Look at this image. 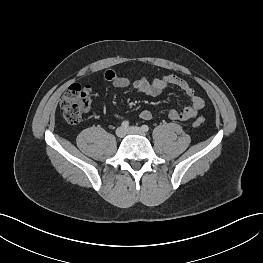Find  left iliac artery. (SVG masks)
Instances as JSON below:
<instances>
[{"label": "left iliac artery", "instance_id": "44dca946", "mask_svg": "<svg viewBox=\"0 0 263 263\" xmlns=\"http://www.w3.org/2000/svg\"><path fill=\"white\" fill-rule=\"evenodd\" d=\"M141 129L144 131V132H147L148 130H149V127H148V125H142L141 126Z\"/></svg>", "mask_w": 263, "mask_h": 263}]
</instances>
